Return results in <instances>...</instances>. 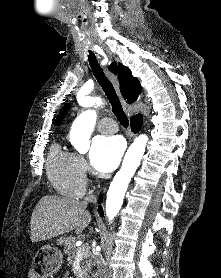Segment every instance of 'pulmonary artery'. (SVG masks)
<instances>
[{"label": "pulmonary artery", "mask_w": 221, "mask_h": 278, "mask_svg": "<svg viewBox=\"0 0 221 278\" xmlns=\"http://www.w3.org/2000/svg\"><path fill=\"white\" fill-rule=\"evenodd\" d=\"M99 131L102 133H114L118 130L116 123L110 118H104L98 125Z\"/></svg>", "instance_id": "e3ab8cb5"}]
</instances>
